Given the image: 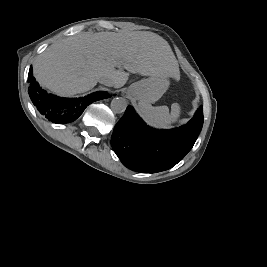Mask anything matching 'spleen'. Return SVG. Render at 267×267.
Returning <instances> with one entry per match:
<instances>
[{"label": "spleen", "instance_id": "1", "mask_svg": "<svg viewBox=\"0 0 267 267\" xmlns=\"http://www.w3.org/2000/svg\"><path fill=\"white\" fill-rule=\"evenodd\" d=\"M138 113L148 125L157 129H169L180 117L181 109L178 103H173L169 112L167 106L154 107L139 101Z\"/></svg>", "mask_w": 267, "mask_h": 267}]
</instances>
